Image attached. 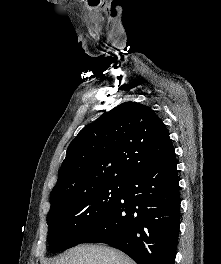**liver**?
<instances>
[{"instance_id":"1","label":"liver","mask_w":221,"mask_h":264,"mask_svg":"<svg viewBox=\"0 0 221 264\" xmlns=\"http://www.w3.org/2000/svg\"><path fill=\"white\" fill-rule=\"evenodd\" d=\"M46 264H136L127 255L106 246L81 245Z\"/></svg>"}]
</instances>
